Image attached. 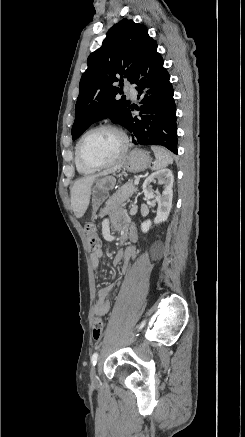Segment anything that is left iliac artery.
I'll return each mask as SVG.
<instances>
[{
    "mask_svg": "<svg viewBox=\"0 0 245 437\" xmlns=\"http://www.w3.org/2000/svg\"><path fill=\"white\" fill-rule=\"evenodd\" d=\"M144 325H145V321H143V322L141 323V325L139 326V329L143 328ZM98 356H99L98 353L95 352V353L92 355V357H91V363H92L94 366H95L96 363H97Z\"/></svg>",
    "mask_w": 245,
    "mask_h": 437,
    "instance_id": "1",
    "label": "left iliac artery"
}]
</instances>
